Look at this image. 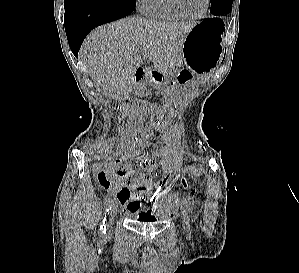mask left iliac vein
Masks as SVG:
<instances>
[{"label":"left iliac vein","mask_w":299,"mask_h":273,"mask_svg":"<svg viewBox=\"0 0 299 273\" xmlns=\"http://www.w3.org/2000/svg\"><path fill=\"white\" fill-rule=\"evenodd\" d=\"M183 228L184 230L188 231L189 230V217L187 214L183 215Z\"/></svg>","instance_id":"left-iliac-vein-1"}]
</instances>
